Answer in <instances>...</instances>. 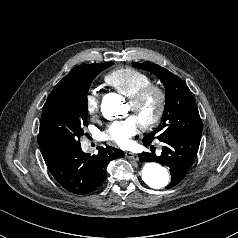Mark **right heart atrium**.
Wrapping results in <instances>:
<instances>
[{
  "instance_id": "1",
  "label": "right heart atrium",
  "mask_w": 238,
  "mask_h": 238,
  "mask_svg": "<svg viewBox=\"0 0 238 238\" xmlns=\"http://www.w3.org/2000/svg\"><path fill=\"white\" fill-rule=\"evenodd\" d=\"M85 108L87 113L92 117H95L98 114L100 108V99L96 90H91L86 94Z\"/></svg>"
}]
</instances>
